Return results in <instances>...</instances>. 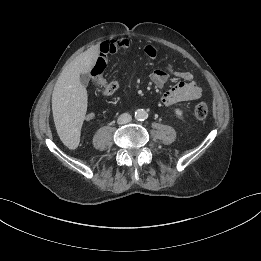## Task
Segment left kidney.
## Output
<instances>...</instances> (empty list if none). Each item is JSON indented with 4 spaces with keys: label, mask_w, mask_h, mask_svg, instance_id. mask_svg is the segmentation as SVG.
Here are the masks:
<instances>
[{
    "label": "left kidney",
    "mask_w": 261,
    "mask_h": 261,
    "mask_svg": "<svg viewBox=\"0 0 261 261\" xmlns=\"http://www.w3.org/2000/svg\"><path fill=\"white\" fill-rule=\"evenodd\" d=\"M175 114L178 116V117H182L183 116V111L179 108L175 109Z\"/></svg>",
    "instance_id": "1"
}]
</instances>
